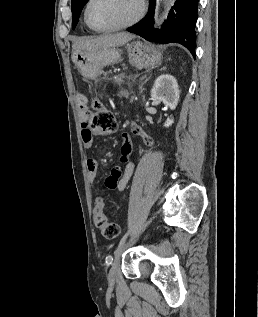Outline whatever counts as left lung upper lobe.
Here are the masks:
<instances>
[{
	"instance_id": "1",
	"label": "left lung upper lobe",
	"mask_w": 258,
	"mask_h": 317,
	"mask_svg": "<svg viewBox=\"0 0 258 317\" xmlns=\"http://www.w3.org/2000/svg\"><path fill=\"white\" fill-rule=\"evenodd\" d=\"M88 0H71V10H72V28L74 29L77 25L81 10Z\"/></svg>"
}]
</instances>
